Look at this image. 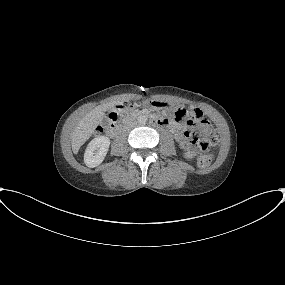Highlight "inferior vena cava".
I'll list each match as a JSON object with an SVG mask.
<instances>
[{
	"mask_svg": "<svg viewBox=\"0 0 285 285\" xmlns=\"http://www.w3.org/2000/svg\"><path fill=\"white\" fill-rule=\"evenodd\" d=\"M135 126H136V123L134 122V123L129 124V125L126 127V129L129 130V129L135 127Z\"/></svg>",
	"mask_w": 285,
	"mask_h": 285,
	"instance_id": "602c4592",
	"label": "inferior vena cava"
}]
</instances>
